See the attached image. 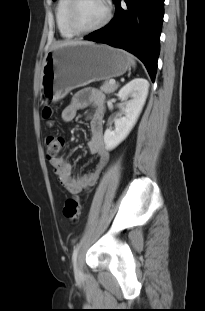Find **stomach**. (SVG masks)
<instances>
[{"label":"stomach","mask_w":205,"mask_h":311,"mask_svg":"<svg viewBox=\"0 0 205 311\" xmlns=\"http://www.w3.org/2000/svg\"><path fill=\"white\" fill-rule=\"evenodd\" d=\"M128 67L127 53L107 45L82 43L52 48L43 61L40 99L55 103L75 88L121 76Z\"/></svg>","instance_id":"0dacf381"}]
</instances>
